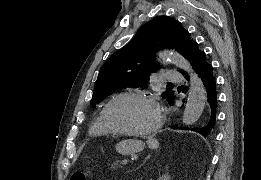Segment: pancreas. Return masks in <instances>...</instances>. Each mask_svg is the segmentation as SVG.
Returning <instances> with one entry per match:
<instances>
[{
    "instance_id": "1",
    "label": "pancreas",
    "mask_w": 261,
    "mask_h": 180,
    "mask_svg": "<svg viewBox=\"0 0 261 180\" xmlns=\"http://www.w3.org/2000/svg\"><path fill=\"white\" fill-rule=\"evenodd\" d=\"M110 167L111 169L113 170H120L121 169V166L119 164V159H113L112 162H110Z\"/></svg>"
}]
</instances>
